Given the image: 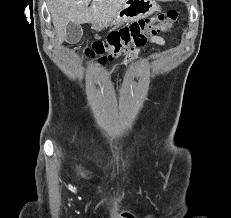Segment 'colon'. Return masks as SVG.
Segmentation results:
<instances>
[{
    "mask_svg": "<svg viewBox=\"0 0 231 218\" xmlns=\"http://www.w3.org/2000/svg\"><path fill=\"white\" fill-rule=\"evenodd\" d=\"M178 19L175 10L131 23L113 31L105 40L95 41L82 52L85 56L96 58L100 63L144 46L147 41L159 33L169 31Z\"/></svg>",
    "mask_w": 231,
    "mask_h": 218,
    "instance_id": "colon-1",
    "label": "colon"
}]
</instances>
